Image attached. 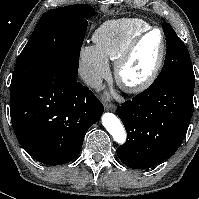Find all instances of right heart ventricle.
I'll return each mask as SVG.
<instances>
[{
    "mask_svg": "<svg viewBox=\"0 0 199 199\" xmlns=\"http://www.w3.org/2000/svg\"><path fill=\"white\" fill-rule=\"evenodd\" d=\"M150 27L147 21L139 18L110 20L97 28L93 40L107 61H116L129 42Z\"/></svg>",
    "mask_w": 199,
    "mask_h": 199,
    "instance_id": "1",
    "label": "right heart ventricle"
}]
</instances>
